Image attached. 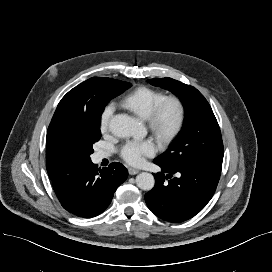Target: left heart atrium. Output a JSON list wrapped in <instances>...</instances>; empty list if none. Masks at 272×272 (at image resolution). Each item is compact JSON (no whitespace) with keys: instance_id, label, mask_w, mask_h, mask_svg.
<instances>
[{"instance_id":"1","label":"left heart atrium","mask_w":272,"mask_h":272,"mask_svg":"<svg viewBox=\"0 0 272 272\" xmlns=\"http://www.w3.org/2000/svg\"><path fill=\"white\" fill-rule=\"evenodd\" d=\"M155 146L150 141H129L121 148V157L131 165H140L145 157L155 153Z\"/></svg>"}]
</instances>
